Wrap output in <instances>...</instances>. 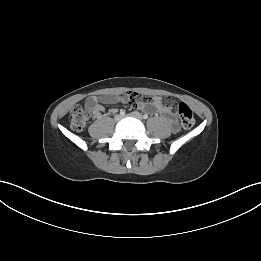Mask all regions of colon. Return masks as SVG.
<instances>
[{
    "instance_id": "1",
    "label": "colon",
    "mask_w": 261,
    "mask_h": 261,
    "mask_svg": "<svg viewBox=\"0 0 261 261\" xmlns=\"http://www.w3.org/2000/svg\"><path fill=\"white\" fill-rule=\"evenodd\" d=\"M140 94V93H139ZM142 95V94H141ZM164 104L170 109L175 108L179 114L181 125L184 129H191L195 124V118L191 108L185 103L175 105L171 98L162 99ZM91 112L80 105L75 106L70 112V126L75 131H81L89 123Z\"/></svg>"
}]
</instances>
